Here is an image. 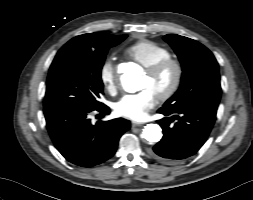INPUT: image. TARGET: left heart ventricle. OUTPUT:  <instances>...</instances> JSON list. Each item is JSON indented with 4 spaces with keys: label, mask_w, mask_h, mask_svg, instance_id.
<instances>
[{
    "label": "left heart ventricle",
    "mask_w": 253,
    "mask_h": 200,
    "mask_svg": "<svg viewBox=\"0 0 253 200\" xmlns=\"http://www.w3.org/2000/svg\"><path fill=\"white\" fill-rule=\"evenodd\" d=\"M172 80V71L167 70L158 77H151L147 73L143 76L140 88L141 89H151L155 95L165 90L171 83Z\"/></svg>",
    "instance_id": "1"
}]
</instances>
